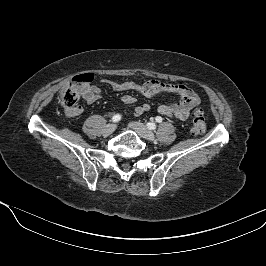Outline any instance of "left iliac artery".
<instances>
[{"mask_svg": "<svg viewBox=\"0 0 266 266\" xmlns=\"http://www.w3.org/2000/svg\"><path fill=\"white\" fill-rule=\"evenodd\" d=\"M156 122L161 123L162 122V118L160 116L156 117ZM147 127L151 130H155L156 129V124L152 123V122H148L147 123Z\"/></svg>", "mask_w": 266, "mask_h": 266, "instance_id": "44dca946", "label": "left iliac artery"}]
</instances>
